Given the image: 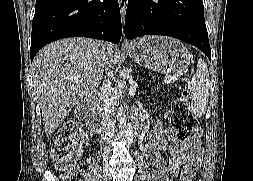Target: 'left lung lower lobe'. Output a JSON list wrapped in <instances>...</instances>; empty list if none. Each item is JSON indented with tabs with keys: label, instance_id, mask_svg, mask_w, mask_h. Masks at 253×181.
I'll list each match as a JSON object with an SVG mask.
<instances>
[{
	"label": "left lung lower lobe",
	"instance_id": "obj_1",
	"mask_svg": "<svg viewBox=\"0 0 253 181\" xmlns=\"http://www.w3.org/2000/svg\"><path fill=\"white\" fill-rule=\"evenodd\" d=\"M164 35L198 47L211 60L202 0H129L125 36Z\"/></svg>",
	"mask_w": 253,
	"mask_h": 181
}]
</instances>
